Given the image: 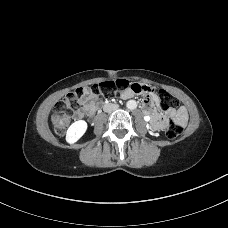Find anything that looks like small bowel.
Wrapping results in <instances>:
<instances>
[{
	"mask_svg": "<svg viewBox=\"0 0 228 228\" xmlns=\"http://www.w3.org/2000/svg\"><path fill=\"white\" fill-rule=\"evenodd\" d=\"M134 93L131 89H126L121 93L122 98L129 99L133 97ZM99 103V95L95 92L89 91L82 101V108L77 112V117L82 118L85 115L93 114ZM159 108V98L155 95L147 98L144 102V112L151 116L153 123L151 125L152 129L160 130L166 125V118L162 114H158L156 109ZM171 116L175 118L177 123L181 126L186 125L188 120V113L185 107L181 106L176 110L169 112Z\"/></svg>",
	"mask_w": 228,
	"mask_h": 228,
	"instance_id": "small-bowel-1",
	"label": "small bowel"
}]
</instances>
